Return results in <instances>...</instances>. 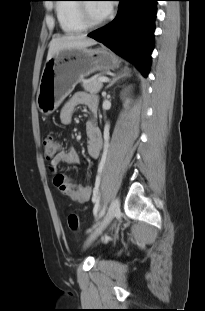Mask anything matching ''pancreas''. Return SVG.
<instances>
[{
    "instance_id": "pancreas-1",
    "label": "pancreas",
    "mask_w": 205,
    "mask_h": 311,
    "mask_svg": "<svg viewBox=\"0 0 205 311\" xmlns=\"http://www.w3.org/2000/svg\"><path fill=\"white\" fill-rule=\"evenodd\" d=\"M99 77H94L91 79H87V80H81L82 82V87L84 88L85 91L91 93V94H96L98 93L102 87H103V82L99 81Z\"/></svg>"
}]
</instances>
